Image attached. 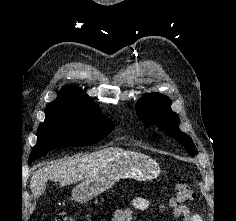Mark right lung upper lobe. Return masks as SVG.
Returning <instances> with one entry per match:
<instances>
[{
	"instance_id": "right-lung-upper-lobe-1",
	"label": "right lung upper lobe",
	"mask_w": 236,
	"mask_h": 221,
	"mask_svg": "<svg viewBox=\"0 0 236 221\" xmlns=\"http://www.w3.org/2000/svg\"><path fill=\"white\" fill-rule=\"evenodd\" d=\"M47 106H66L80 110H97L88 95L77 88H62L57 98Z\"/></svg>"
}]
</instances>
